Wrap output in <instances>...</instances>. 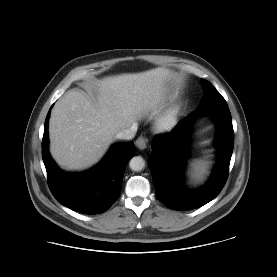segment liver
Returning <instances> with one entry per match:
<instances>
[{
	"label": "liver",
	"mask_w": 277,
	"mask_h": 277,
	"mask_svg": "<svg viewBox=\"0 0 277 277\" xmlns=\"http://www.w3.org/2000/svg\"><path fill=\"white\" fill-rule=\"evenodd\" d=\"M173 76L159 67L104 78L94 86V98L68 91L51 112L52 157L66 170H84L96 164L118 132L161 110Z\"/></svg>",
	"instance_id": "liver-1"
}]
</instances>
